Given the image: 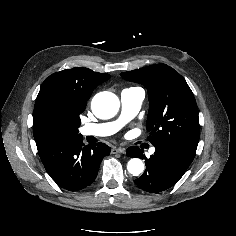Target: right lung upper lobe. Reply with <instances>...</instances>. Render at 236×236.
I'll use <instances>...</instances> for the list:
<instances>
[{"label":"right lung upper lobe","mask_w":236,"mask_h":236,"mask_svg":"<svg viewBox=\"0 0 236 236\" xmlns=\"http://www.w3.org/2000/svg\"><path fill=\"white\" fill-rule=\"evenodd\" d=\"M111 76L83 67L62 70L50 75L42 83L33 111V134L40 114L47 109L66 116H79L84 112L93 90Z\"/></svg>","instance_id":"1"}]
</instances>
